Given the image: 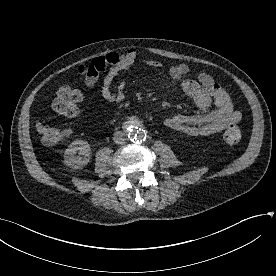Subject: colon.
Wrapping results in <instances>:
<instances>
[{"instance_id": "obj_1", "label": "colon", "mask_w": 276, "mask_h": 276, "mask_svg": "<svg viewBox=\"0 0 276 276\" xmlns=\"http://www.w3.org/2000/svg\"><path fill=\"white\" fill-rule=\"evenodd\" d=\"M82 99L81 93L69 86L61 87L53 101V110L64 117H74L79 113V103ZM37 131L43 143L54 145L65 137L66 133L46 123L38 122ZM224 141L229 145H236L242 139V133L236 125L229 126L223 133Z\"/></svg>"}]
</instances>
